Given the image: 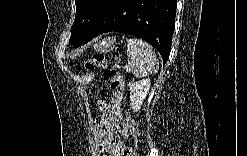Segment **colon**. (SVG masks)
<instances>
[{
    "instance_id": "obj_1",
    "label": "colon",
    "mask_w": 247,
    "mask_h": 156,
    "mask_svg": "<svg viewBox=\"0 0 247 156\" xmlns=\"http://www.w3.org/2000/svg\"><path fill=\"white\" fill-rule=\"evenodd\" d=\"M84 64L87 70L102 69L104 79L109 82L110 88L114 92H121L123 90L124 84L121 74L115 68L110 67L107 64V60L103 54H95L87 58L84 61ZM126 126L134 139V142L126 155H133L137 147V129L135 122L129 115L126 117Z\"/></svg>"
}]
</instances>
